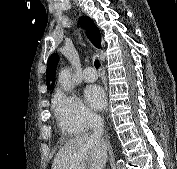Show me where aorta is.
Here are the masks:
<instances>
[{
    "instance_id": "obj_1",
    "label": "aorta",
    "mask_w": 177,
    "mask_h": 169,
    "mask_svg": "<svg viewBox=\"0 0 177 169\" xmlns=\"http://www.w3.org/2000/svg\"><path fill=\"white\" fill-rule=\"evenodd\" d=\"M58 82L65 91L72 90L71 72L68 68H64L60 71Z\"/></svg>"
}]
</instances>
